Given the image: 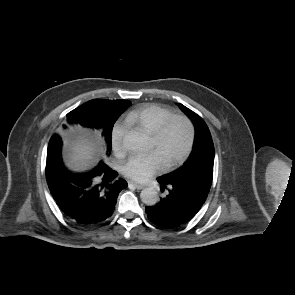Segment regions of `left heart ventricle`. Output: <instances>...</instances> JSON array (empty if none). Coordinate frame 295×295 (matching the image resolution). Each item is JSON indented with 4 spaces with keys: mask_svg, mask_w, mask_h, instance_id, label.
Segmentation results:
<instances>
[{
    "mask_svg": "<svg viewBox=\"0 0 295 295\" xmlns=\"http://www.w3.org/2000/svg\"><path fill=\"white\" fill-rule=\"evenodd\" d=\"M187 140L188 131L186 126L181 122H175L170 126L159 144L151 140V150L157 152L163 163L166 164L183 152Z\"/></svg>",
    "mask_w": 295,
    "mask_h": 295,
    "instance_id": "1",
    "label": "left heart ventricle"
}]
</instances>
